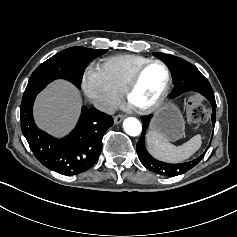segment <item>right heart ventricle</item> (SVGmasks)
<instances>
[{
  "mask_svg": "<svg viewBox=\"0 0 237 237\" xmlns=\"http://www.w3.org/2000/svg\"><path fill=\"white\" fill-rule=\"evenodd\" d=\"M149 60L140 55L121 54L106 58L101 68L113 86L123 94L136 71Z\"/></svg>",
  "mask_w": 237,
  "mask_h": 237,
  "instance_id": "1",
  "label": "right heart ventricle"
}]
</instances>
